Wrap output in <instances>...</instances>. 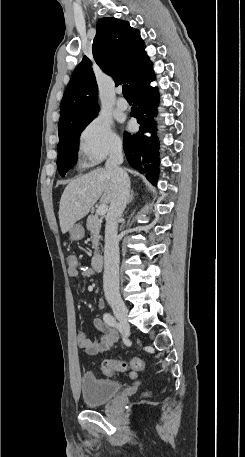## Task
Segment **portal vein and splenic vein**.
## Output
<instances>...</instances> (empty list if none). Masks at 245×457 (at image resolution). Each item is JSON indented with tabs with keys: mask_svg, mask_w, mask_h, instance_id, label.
<instances>
[{
	"mask_svg": "<svg viewBox=\"0 0 245 457\" xmlns=\"http://www.w3.org/2000/svg\"><path fill=\"white\" fill-rule=\"evenodd\" d=\"M108 210V204H100V206H98L96 212L97 214H106Z\"/></svg>",
	"mask_w": 245,
	"mask_h": 457,
	"instance_id": "obj_1",
	"label": "portal vein and splenic vein"
}]
</instances>
